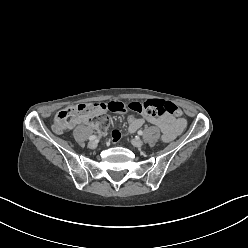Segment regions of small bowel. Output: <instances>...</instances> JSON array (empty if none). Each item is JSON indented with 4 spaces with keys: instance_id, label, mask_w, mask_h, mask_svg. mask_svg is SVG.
<instances>
[{
    "instance_id": "1",
    "label": "small bowel",
    "mask_w": 248,
    "mask_h": 248,
    "mask_svg": "<svg viewBox=\"0 0 248 248\" xmlns=\"http://www.w3.org/2000/svg\"><path fill=\"white\" fill-rule=\"evenodd\" d=\"M134 121L139 125V128L142 127L145 124V122L151 123L154 126H156L161 131L162 140L164 142H170L173 139H175L179 134H181L186 124L185 119L174 118L169 115H165L161 117H149V116L135 117ZM138 129L133 128L132 125H128L129 134L134 133ZM110 134H111L110 140L115 145H118L121 139L119 129L117 127H114L110 131Z\"/></svg>"
}]
</instances>
